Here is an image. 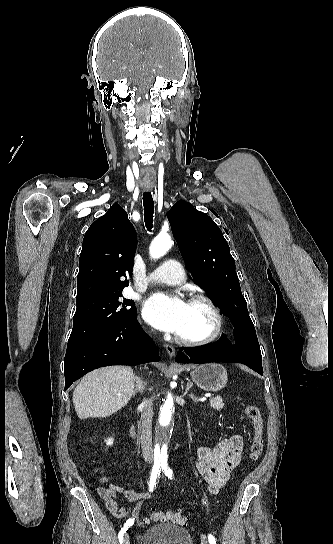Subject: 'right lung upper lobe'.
Segmentation results:
<instances>
[{"mask_svg": "<svg viewBox=\"0 0 333 544\" xmlns=\"http://www.w3.org/2000/svg\"><path fill=\"white\" fill-rule=\"evenodd\" d=\"M137 245L126 211L114 204L87 230L79 259L77 298L129 285Z\"/></svg>", "mask_w": 333, "mask_h": 544, "instance_id": "obj_1", "label": "right lung upper lobe"}]
</instances>
